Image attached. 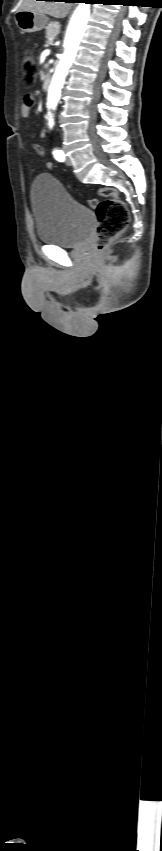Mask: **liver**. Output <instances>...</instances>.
I'll return each mask as SVG.
<instances>
[{"label":"liver","instance_id":"6515ba94","mask_svg":"<svg viewBox=\"0 0 162 851\" xmlns=\"http://www.w3.org/2000/svg\"><path fill=\"white\" fill-rule=\"evenodd\" d=\"M18 6L19 11L29 10L55 18H64L71 8V4L66 2L36 0H20Z\"/></svg>","mask_w":162,"mask_h":851}]
</instances>
